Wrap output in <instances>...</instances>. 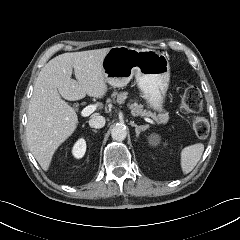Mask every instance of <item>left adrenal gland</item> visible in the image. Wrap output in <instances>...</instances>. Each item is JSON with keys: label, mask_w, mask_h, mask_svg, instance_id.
<instances>
[{"label": "left adrenal gland", "mask_w": 240, "mask_h": 240, "mask_svg": "<svg viewBox=\"0 0 240 240\" xmlns=\"http://www.w3.org/2000/svg\"><path fill=\"white\" fill-rule=\"evenodd\" d=\"M130 124H131V126L135 127V132H136L137 137H139V134L141 131H145L148 128L147 125L138 126L137 124L134 123V121H131Z\"/></svg>", "instance_id": "left-adrenal-gland-1"}]
</instances>
